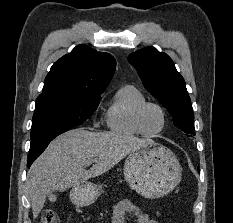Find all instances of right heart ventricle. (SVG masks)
<instances>
[{
    "instance_id": "right-heart-ventricle-1",
    "label": "right heart ventricle",
    "mask_w": 233,
    "mask_h": 223,
    "mask_svg": "<svg viewBox=\"0 0 233 223\" xmlns=\"http://www.w3.org/2000/svg\"><path fill=\"white\" fill-rule=\"evenodd\" d=\"M144 101L146 97L136 85L125 84L119 87L105 111L107 128L119 135L142 136L135 126L134 114Z\"/></svg>"
}]
</instances>
